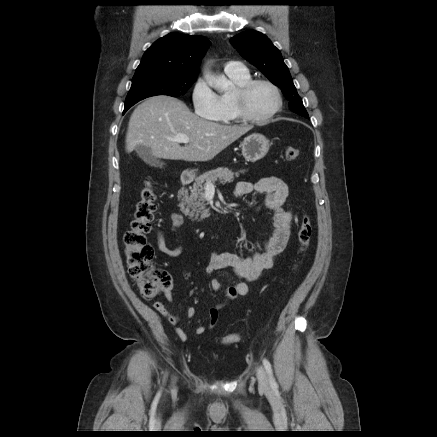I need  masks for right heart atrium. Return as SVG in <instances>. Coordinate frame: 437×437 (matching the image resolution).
<instances>
[{"label":"right heart atrium","mask_w":437,"mask_h":437,"mask_svg":"<svg viewBox=\"0 0 437 437\" xmlns=\"http://www.w3.org/2000/svg\"><path fill=\"white\" fill-rule=\"evenodd\" d=\"M191 101L196 115L216 120L221 112L219 96L203 80L198 79L191 92Z\"/></svg>","instance_id":"d8ad5b80"}]
</instances>
